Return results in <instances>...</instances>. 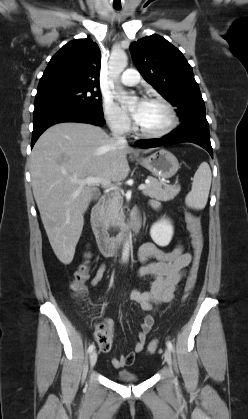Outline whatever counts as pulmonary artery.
I'll use <instances>...</instances> for the list:
<instances>
[{
    "label": "pulmonary artery",
    "mask_w": 248,
    "mask_h": 419,
    "mask_svg": "<svg viewBox=\"0 0 248 419\" xmlns=\"http://www.w3.org/2000/svg\"><path fill=\"white\" fill-rule=\"evenodd\" d=\"M140 80L139 72L135 69H127L120 78V82L126 86H134Z\"/></svg>",
    "instance_id": "pulmonary-artery-1"
}]
</instances>
